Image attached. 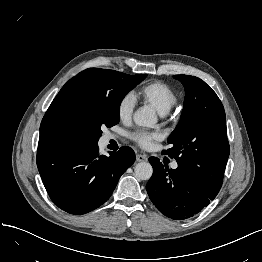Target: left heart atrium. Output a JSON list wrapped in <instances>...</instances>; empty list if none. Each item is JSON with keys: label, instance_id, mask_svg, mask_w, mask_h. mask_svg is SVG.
I'll list each match as a JSON object with an SVG mask.
<instances>
[{"label": "left heart atrium", "instance_id": "1", "mask_svg": "<svg viewBox=\"0 0 262 262\" xmlns=\"http://www.w3.org/2000/svg\"><path fill=\"white\" fill-rule=\"evenodd\" d=\"M131 139L142 148H148L154 140L160 138V133L157 131L138 130L130 135Z\"/></svg>", "mask_w": 262, "mask_h": 262}]
</instances>
